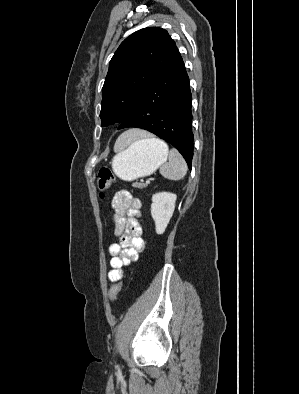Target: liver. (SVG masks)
I'll list each match as a JSON object with an SVG mask.
<instances>
[{
    "label": "liver",
    "mask_w": 299,
    "mask_h": 394,
    "mask_svg": "<svg viewBox=\"0 0 299 394\" xmlns=\"http://www.w3.org/2000/svg\"><path fill=\"white\" fill-rule=\"evenodd\" d=\"M149 134L145 131L132 129L123 134V144H128L136 139L147 137Z\"/></svg>",
    "instance_id": "liver-1"
}]
</instances>
